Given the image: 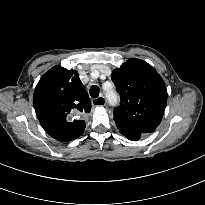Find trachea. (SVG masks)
Masks as SVG:
<instances>
[{"mask_svg": "<svg viewBox=\"0 0 205 205\" xmlns=\"http://www.w3.org/2000/svg\"><path fill=\"white\" fill-rule=\"evenodd\" d=\"M89 92L91 97L96 98L99 96V87L97 85H93Z\"/></svg>", "mask_w": 205, "mask_h": 205, "instance_id": "trachea-1", "label": "trachea"}]
</instances>
